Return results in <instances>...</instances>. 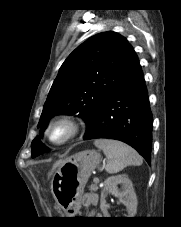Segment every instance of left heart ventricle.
I'll use <instances>...</instances> for the list:
<instances>
[{
  "label": "left heart ventricle",
  "mask_w": 181,
  "mask_h": 227,
  "mask_svg": "<svg viewBox=\"0 0 181 227\" xmlns=\"http://www.w3.org/2000/svg\"><path fill=\"white\" fill-rule=\"evenodd\" d=\"M65 135V130L63 128H56L52 131V138L54 140H59Z\"/></svg>",
  "instance_id": "obj_1"
}]
</instances>
